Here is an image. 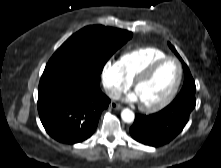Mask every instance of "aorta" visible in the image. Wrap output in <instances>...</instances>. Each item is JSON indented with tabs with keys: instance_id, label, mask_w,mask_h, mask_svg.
<instances>
[{
	"instance_id": "762f6f07",
	"label": "aorta",
	"mask_w": 221,
	"mask_h": 168,
	"mask_svg": "<svg viewBox=\"0 0 221 168\" xmlns=\"http://www.w3.org/2000/svg\"><path fill=\"white\" fill-rule=\"evenodd\" d=\"M121 118L126 123H131L134 121L135 115L134 112L128 108L123 109L121 112Z\"/></svg>"
}]
</instances>
